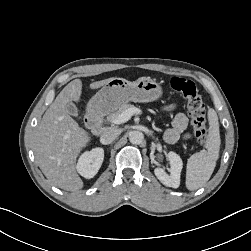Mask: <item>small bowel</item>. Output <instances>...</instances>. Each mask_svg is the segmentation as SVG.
Here are the masks:
<instances>
[{"mask_svg": "<svg viewBox=\"0 0 251 251\" xmlns=\"http://www.w3.org/2000/svg\"><path fill=\"white\" fill-rule=\"evenodd\" d=\"M174 105H169L168 110L174 109ZM188 119L184 113H177L172 121V127L165 132L164 138L169 144L176 143L180 139H187L189 134L186 132Z\"/></svg>", "mask_w": 251, "mask_h": 251, "instance_id": "obj_1", "label": "small bowel"}]
</instances>
